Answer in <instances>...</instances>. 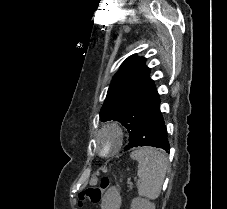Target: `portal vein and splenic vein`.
Masks as SVG:
<instances>
[{
    "mask_svg": "<svg viewBox=\"0 0 227 209\" xmlns=\"http://www.w3.org/2000/svg\"><path fill=\"white\" fill-rule=\"evenodd\" d=\"M129 185H130V186H129V187H130L129 190L131 191L132 188L134 187V186H133V185H134V182H133V181H130V182H129ZM130 191L128 192L129 194L131 193Z\"/></svg>",
    "mask_w": 227,
    "mask_h": 209,
    "instance_id": "1",
    "label": "portal vein and splenic vein"
}]
</instances>
